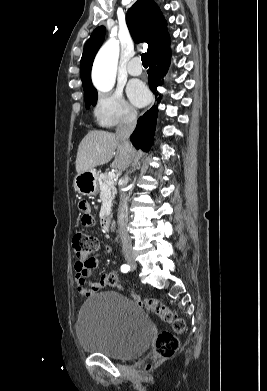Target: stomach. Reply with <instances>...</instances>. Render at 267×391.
Here are the masks:
<instances>
[{"label": "stomach", "instance_id": "1", "mask_svg": "<svg viewBox=\"0 0 267 391\" xmlns=\"http://www.w3.org/2000/svg\"><path fill=\"white\" fill-rule=\"evenodd\" d=\"M98 174L96 170H89L77 174L74 179V189L81 195L93 196L98 192Z\"/></svg>", "mask_w": 267, "mask_h": 391}]
</instances>
